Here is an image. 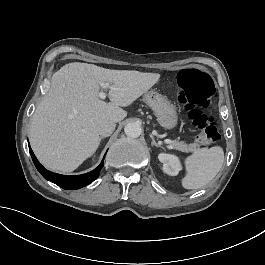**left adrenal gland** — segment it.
<instances>
[{"mask_svg": "<svg viewBox=\"0 0 265 265\" xmlns=\"http://www.w3.org/2000/svg\"><path fill=\"white\" fill-rule=\"evenodd\" d=\"M150 137H151V139H152V141H153V143H152V146H153V147H160V148L164 149L161 145H159V144H157V143L155 142V139H154L153 135H150Z\"/></svg>", "mask_w": 265, "mask_h": 265, "instance_id": "left-adrenal-gland-1", "label": "left adrenal gland"}]
</instances>
